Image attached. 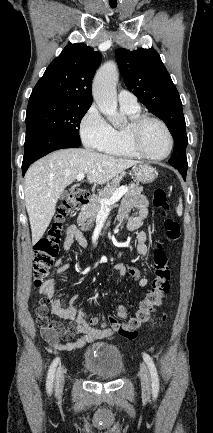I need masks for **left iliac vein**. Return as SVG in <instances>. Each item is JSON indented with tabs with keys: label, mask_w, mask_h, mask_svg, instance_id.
Segmentation results:
<instances>
[{
	"label": "left iliac vein",
	"mask_w": 213,
	"mask_h": 433,
	"mask_svg": "<svg viewBox=\"0 0 213 433\" xmlns=\"http://www.w3.org/2000/svg\"><path fill=\"white\" fill-rule=\"evenodd\" d=\"M140 379H141V387L142 392L145 397H149L150 395V374L147 366L144 363L140 364Z\"/></svg>",
	"instance_id": "4c4485c4"
}]
</instances>
